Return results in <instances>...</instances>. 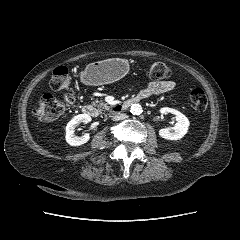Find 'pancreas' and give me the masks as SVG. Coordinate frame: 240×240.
<instances>
[{
    "label": "pancreas",
    "instance_id": "pancreas-1",
    "mask_svg": "<svg viewBox=\"0 0 240 240\" xmlns=\"http://www.w3.org/2000/svg\"><path fill=\"white\" fill-rule=\"evenodd\" d=\"M93 106L97 107L100 111L101 110H109V106L107 105V103L105 102H102V101H94L93 103Z\"/></svg>",
    "mask_w": 240,
    "mask_h": 240
}]
</instances>
